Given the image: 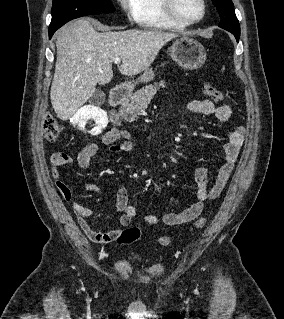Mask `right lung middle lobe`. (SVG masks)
I'll list each match as a JSON object with an SVG mask.
<instances>
[{
  "label": "right lung middle lobe",
  "mask_w": 284,
  "mask_h": 319,
  "mask_svg": "<svg viewBox=\"0 0 284 319\" xmlns=\"http://www.w3.org/2000/svg\"><path fill=\"white\" fill-rule=\"evenodd\" d=\"M114 11L110 0H53L49 30L58 29L68 21L81 16Z\"/></svg>",
  "instance_id": "1"
}]
</instances>
